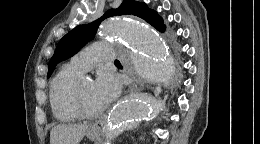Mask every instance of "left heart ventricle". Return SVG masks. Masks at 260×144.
<instances>
[{"label":"left heart ventricle","instance_id":"left-heart-ventricle-1","mask_svg":"<svg viewBox=\"0 0 260 144\" xmlns=\"http://www.w3.org/2000/svg\"><path fill=\"white\" fill-rule=\"evenodd\" d=\"M84 101L87 107L92 111H98L103 108L95 94V83L90 80H84L83 83Z\"/></svg>","mask_w":260,"mask_h":144}]
</instances>
